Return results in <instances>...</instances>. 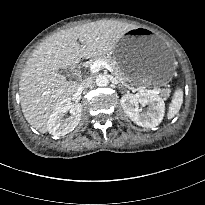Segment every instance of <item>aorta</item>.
Instances as JSON below:
<instances>
[{"instance_id":"obj_1","label":"aorta","mask_w":205,"mask_h":205,"mask_svg":"<svg viewBox=\"0 0 205 205\" xmlns=\"http://www.w3.org/2000/svg\"><path fill=\"white\" fill-rule=\"evenodd\" d=\"M96 84H97V86H99V87H105V86H107V85L109 84V80H108V78H107L106 76H104V75H98V76L96 77Z\"/></svg>"}]
</instances>
